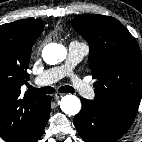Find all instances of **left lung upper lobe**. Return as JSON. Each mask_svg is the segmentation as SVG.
Returning a JSON list of instances; mask_svg holds the SVG:
<instances>
[{
	"label": "left lung upper lobe",
	"instance_id": "obj_1",
	"mask_svg": "<svg viewBox=\"0 0 142 142\" xmlns=\"http://www.w3.org/2000/svg\"><path fill=\"white\" fill-rule=\"evenodd\" d=\"M71 23L90 46L89 66L97 79L94 101L133 123L142 97V59L136 40L110 16H77Z\"/></svg>",
	"mask_w": 142,
	"mask_h": 142
}]
</instances>
